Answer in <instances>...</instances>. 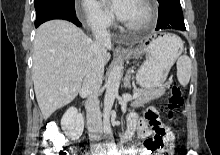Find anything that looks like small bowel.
<instances>
[{
    "instance_id": "1",
    "label": "small bowel",
    "mask_w": 220,
    "mask_h": 155,
    "mask_svg": "<svg viewBox=\"0 0 220 155\" xmlns=\"http://www.w3.org/2000/svg\"><path fill=\"white\" fill-rule=\"evenodd\" d=\"M155 125L161 126L167 134L170 136H173V132L170 129V127L160 121L159 115L154 107V105H149L147 112L143 118H138L135 114H132L128 118V132L126 135V138H129L132 136V134L136 131L138 136L142 139H145V149H147V144L150 139V135L152 132H155ZM158 155V154H157Z\"/></svg>"
}]
</instances>
